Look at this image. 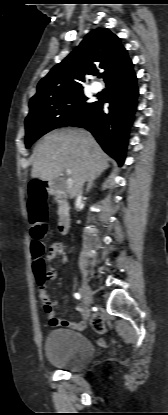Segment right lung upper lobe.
Here are the masks:
<instances>
[{
    "mask_svg": "<svg viewBox=\"0 0 168 415\" xmlns=\"http://www.w3.org/2000/svg\"><path fill=\"white\" fill-rule=\"evenodd\" d=\"M132 64L120 39L108 29L89 32L69 56L55 65L38 83L37 93L31 98L35 106L82 91L86 75L104 70V81L124 71Z\"/></svg>",
    "mask_w": 168,
    "mask_h": 415,
    "instance_id": "right-lung-upper-lobe-1",
    "label": "right lung upper lobe"
}]
</instances>
